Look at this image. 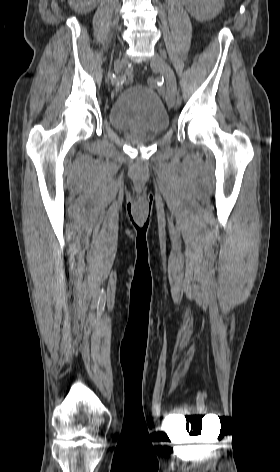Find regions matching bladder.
<instances>
[{
    "mask_svg": "<svg viewBox=\"0 0 280 472\" xmlns=\"http://www.w3.org/2000/svg\"><path fill=\"white\" fill-rule=\"evenodd\" d=\"M108 119L121 131L163 133L169 127V115L159 95L143 85L124 89L112 102Z\"/></svg>",
    "mask_w": 280,
    "mask_h": 472,
    "instance_id": "31cf9c89",
    "label": "bladder"
}]
</instances>
